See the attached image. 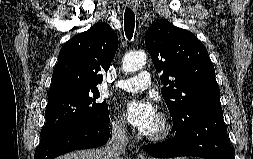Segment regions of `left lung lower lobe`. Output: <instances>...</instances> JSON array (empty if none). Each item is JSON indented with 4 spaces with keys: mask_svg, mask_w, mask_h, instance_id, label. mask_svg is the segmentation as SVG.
<instances>
[{
    "mask_svg": "<svg viewBox=\"0 0 253 159\" xmlns=\"http://www.w3.org/2000/svg\"><path fill=\"white\" fill-rule=\"evenodd\" d=\"M173 129L175 136L163 143L145 147L157 158L196 156L205 159H235L228 140L222 110L188 112Z\"/></svg>",
    "mask_w": 253,
    "mask_h": 159,
    "instance_id": "obj_1",
    "label": "left lung lower lobe"
}]
</instances>
